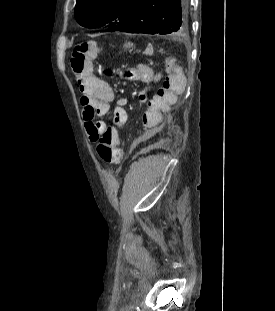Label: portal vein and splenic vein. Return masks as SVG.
<instances>
[{
  "mask_svg": "<svg viewBox=\"0 0 275 311\" xmlns=\"http://www.w3.org/2000/svg\"><path fill=\"white\" fill-rule=\"evenodd\" d=\"M146 53H147V54H152V53H153V50H148Z\"/></svg>",
  "mask_w": 275,
  "mask_h": 311,
  "instance_id": "obj_1",
  "label": "portal vein and splenic vein"
}]
</instances>
